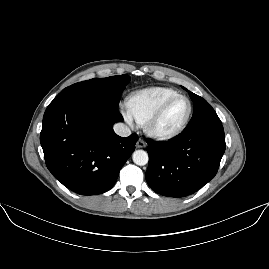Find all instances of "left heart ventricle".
I'll return each mask as SVG.
<instances>
[{
  "label": "left heart ventricle",
  "mask_w": 269,
  "mask_h": 269,
  "mask_svg": "<svg viewBox=\"0 0 269 269\" xmlns=\"http://www.w3.org/2000/svg\"><path fill=\"white\" fill-rule=\"evenodd\" d=\"M188 111V102L185 99H178L173 102L161 120L156 125L160 133H171L175 131L184 121Z\"/></svg>",
  "instance_id": "left-heart-ventricle-1"
}]
</instances>
